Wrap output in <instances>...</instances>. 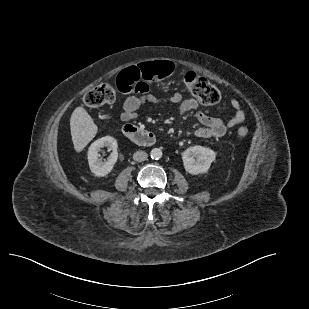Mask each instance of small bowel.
I'll return each mask as SVG.
<instances>
[{"mask_svg": "<svg viewBox=\"0 0 309 309\" xmlns=\"http://www.w3.org/2000/svg\"><path fill=\"white\" fill-rule=\"evenodd\" d=\"M117 83L119 86L123 85L124 87L131 89L128 92L133 93L125 99L122 105L120 117L124 122H131L136 119L138 110L144 104H174L177 105L180 114L197 110L199 107V103L195 98L184 99L179 92H175L168 97L159 98L150 93L147 84L135 90V84L132 83L131 78L127 75L120 76L119 74L117 77ZM230 104L235 110V115L227 121L218 117L210 116L203 111H197L196 117L202 126L194 131V135L199 138H219L222 137L228 129L240 125L245 119L244 111L238 100L232 99Z\"/></svg>", "mask_w": 309, "mask_h": 309, "instance_id": "obj_1", "label": "small bowel"}]
</instances>
